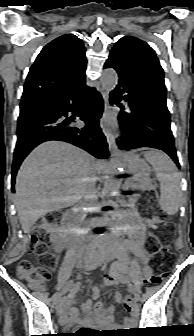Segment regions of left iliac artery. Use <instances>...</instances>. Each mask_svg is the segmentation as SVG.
<instances>
[{
    "mask_svg": "<svg viewBox=\"0 0 194 336\" xmlns=\"http://www.w3.org/2000/svg\"><path fill=\"white\" fill-rule=\"evenodd\" d=\"M128 289H129V291H131V292L134 291V290H133V286H132L131 284L128 285Z\"/></svg>",
    "mask_w": 194,
    "mask_h": 336,
    "instance_id": "44dca946",
    "label": "left iliac artery"
}]
</instances>
